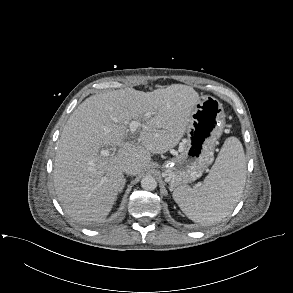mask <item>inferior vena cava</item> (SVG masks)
Segmentation results:
<instances>
[{
  "label": "inferior vena cava",
  "mask_w": 293,
  "mask_h": 293,
  "mask_svg": "<svg viewBox=\"0 0 293 293\" xmlns=\"http://www.w3.org/2000/svg\"><path fill=\"white\" fill-rule=\"evenodd\" d=\"M123 172H125L126 174H132L135 170V166L132 163H127L123 166Z\"/></svg>",
  "instance_id": "1"
}]
</instances>
